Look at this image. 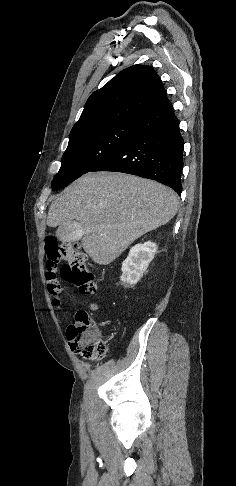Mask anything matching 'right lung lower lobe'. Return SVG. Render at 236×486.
<instances>
[{
    "label": "right lung lower lobe",
    "mask_w": 236,
    "mask_h": 486,
    "mask_svg": "<svg viewBox=\"0 0 236 486\" xmlns=\"http://www.w3.org/2000/svg\"><path fill=\"white\" fill-rule=\"evenodd\" d=\"M183 145L171 106L140 120L136 134L91 171L123 172L156 180L180 195Z\"/></svg>",
    "instance_id": "right-lung-lower-lobe-1"
}]
</instances>
